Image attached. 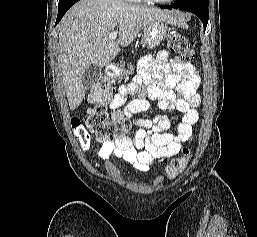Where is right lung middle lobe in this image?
<instances>
[{
    "label": "right lung middle lobe",
    "instance_id": "1",
    "mask_svg": "<svg viewBox=\"0 0 257 237\" xmlns=\"http://www.w3.org/2000/svg\"><path fill=\"white\" fill-rule=\"evenodd\" d=\"M74 0H59L58 8L71 3Z\"/></svg>",
    "mask_w": 257,
    "mask_h": 237
}]
</instances>
